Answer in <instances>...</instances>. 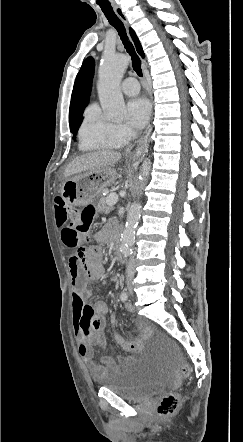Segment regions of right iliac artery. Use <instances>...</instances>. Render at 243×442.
Returning <instances> with one entry per match:
<instances>
[{
    "label": "right iliac artery",
    "instance_id": "obj_1",
    "mask_svg": "<svg viewBox=\"0 0 243 442\" xmlns=\"http://www.w3.org/2000/svg\"><path fill=\"white\" fill-rule=\"evenodd\" d=\"M120 298L123 302H125L128 299V294L126 292H122Z\"/></svg>",
    "mask_w": 243,
    "mask_h": 442
}]
</instances>
